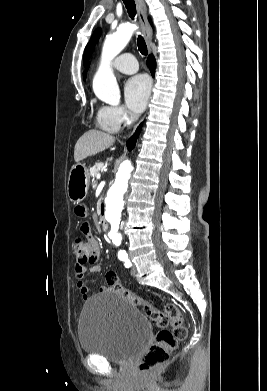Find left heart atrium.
<instances>
[{
    "label": "left heart atrium",
    "instance_id": "1",
    "mask_svg": "<svg viewBox=\"0 0 267 391\" xmlns=\"http://www.w3.org/2000/svg\"><path fill=\"white\" fill-rule=\"evenodd\" d=\"M151 83L146 75H136L130 78L124 87L127 106L134 113L142 112L150 96Z\"/></svg>",
    "mask_w": 267,
    "mask_h": 391
}]
</instances>
